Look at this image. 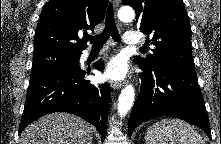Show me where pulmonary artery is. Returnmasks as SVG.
Wrapping results in <instances>:
<instances>
[{
	"instance_id": "1",
	"label": "pulmonary artery",
	"mask_w": 221,
	"mask_h": 144,
	"mask_svg": "<svg viewBox=\"0 0 221 144\" xmlns=\"http://www.w3.org/2000/svg\"><path fill=\"white\" fill-rule=\"evenodd\" d=\"M124 41L128 45H141L142 41L140 39V36L137 32L134 31H128L124 34ZM84 56L88 55V51H85Z\"/></svg>"
}]
</instances>
